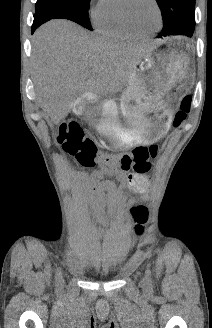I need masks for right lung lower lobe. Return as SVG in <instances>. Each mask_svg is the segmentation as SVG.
Listing matches in <instances>:
<instances>
[{
	"instance_id": "right-lung-lower-lobe-1",
	"label": "right lung lower lobe",
	"mask_w": 212,
	"mask_h": 328,
	"mask_svg": "<svg viewBox=\"0 0 212 328\" xmlns=\"http://www.w3.org/2000/svg\"><path fill=\"white\" fill-rule=\"evenodd\" d=\"M48 21V18L40 17V16H34V21L32 25V33L38 28L41 24Z\"/></svg>"
}]
</instances>
